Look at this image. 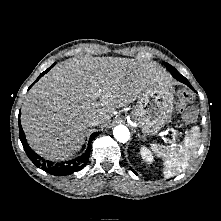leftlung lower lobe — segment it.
I'll use <instances>...</instances> for the list:
<instances>
[{
  "label": "left lung lower lobe",
  "mask_w": 221,
  "mask_h": 221,
  "mask_svg": "<svg viewBox=\"0 0 221 221\" xmlns=\"http://www.w3.org/2000/svg\"><path fill=\"white\" fill-rule=\"evenodd\" d=\"M173 77L176 78L178 81H180V82L186 84V85L189 86L191 89H193L192 86H191V84L189 83V81H188L184 76H182L181 74L174 75ZM132 171H133V170H132ZM133 172L136 174L135 171H133Z\"/></svg>",
  "instance_id": "obj_1"
}]
</instances>
